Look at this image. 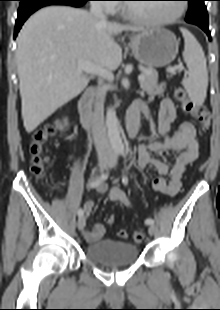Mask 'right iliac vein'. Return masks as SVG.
Segmentation results:
<instances>
[{
	"instance_id": "right-iliac-vein-1",
	"label": "right iliac vein",
	"mask_w": 220,
	"mask_h": 310,
	"mask_svg": "<svg viewBox=\"0 0 220 310\" xmlns=\"http://www.w3.org/2000/svg\"><path fill=\"white\" fill-rule=\"evenodd\" d=\"M111 159L107 156L101 157L98 161V167L100 171H103L110 163ZM86 224L85 216H80L77 222V227L79 230H83Z\"/></svg>"
}]
</instances>
